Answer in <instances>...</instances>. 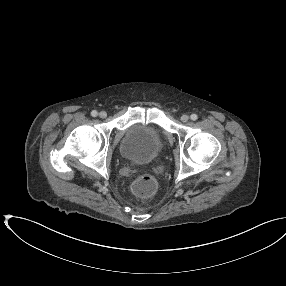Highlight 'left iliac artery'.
Wrapping results in <instances>:
<instances>
[{"instance_id":"obj_1","label":"left iliac artery","mask_w":286,"mask_h":286,"mask_svg":"<svg viewBox=\"0 0 286 286\" xmlns=\"http://www.w3.org/2000/svg\"><path fill=\"white\" fill-rule=\"evenodd\" d=\"M197 118H198V116H197L196 114H192V115H191V119H192L193 121L197 120Z\"/></svg>"}]
</instances>
